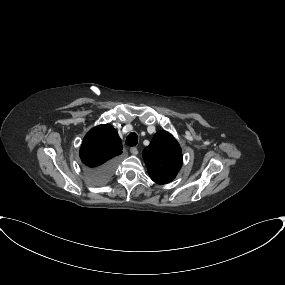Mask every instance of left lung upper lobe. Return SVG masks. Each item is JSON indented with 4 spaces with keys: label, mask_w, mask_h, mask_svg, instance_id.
<instances>
[{
    "label": "left lung upper lobe",
    "mask_w": 285,
    "mask_h": 285,
    "mask_svg": "<svg viewBox=\"0 0 285 285\" xmlns=\"http://www.w3.org/2000/svg\"><path fill=\"white\" fill-rule=\"evenodd\" d=\"M150 178L158 184L171 182L182 166V153L173 136L162 130L157 132L143 151Z\"/></svg>",
    "instance_id": "obj_1"
}]
</instances>
